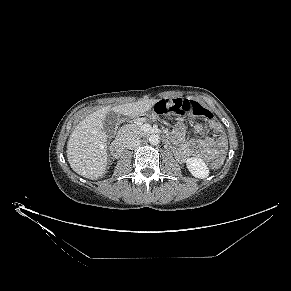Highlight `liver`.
I'll use <instances>...</instances> for the list:
<instances>
[{"label": "liver", "mask_w": 291, "mask_h": 291, "mask_svg": "<svg viewBox=\"0 0 291 291\" xmlns=\"http://www.w3.org/2000/svg\"><path fill=\"white\" fill-rule=\"evenodd\" d=\"M141 100L115 107H103L83 119L72 131L67 144V158L71 168L79 175L98 179L107 165V135L103 131V118L109 111L125 116H139L157 102Z\"/></svg>", "instance_id": "1"}]
</instances>
